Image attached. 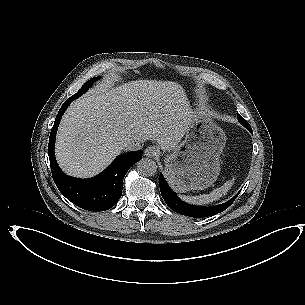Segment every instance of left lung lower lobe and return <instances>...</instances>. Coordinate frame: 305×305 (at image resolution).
<instances>
[{"mask_svg": "<svg viewBox=\"0 0 305 305\" xmlns=\"http://www.w3.org/2000/svg\"><path fill=\"white\" fill-rule=\"evenodd\" d=\"M160 190H161V195L164 199V201L166 202V204L175 212L179 213L180 212V205L183 204H187L185 202H183L182 200H180L175 194L174 192L170 189V187L167 185L164 177L162 174H160ZM238 196L235 195L232 199H230L228 202L222 204V205H218V206H213V207H201L207 210V216H212L214 214L220 213L222 211H224L225 209H227L236 199V197ZM197 207V206H196Z\"/></svg>", "mask_w": 305, "mask_h": 305, "instance_id": "obj_1", "label": "left lung lower lobe"}]
</instances>
